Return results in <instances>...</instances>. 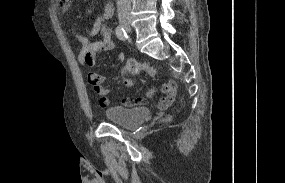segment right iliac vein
Here are the masks:
<instances>
[{"label":"right iliac vein","mask_w":285,"mask_h":183,"mask_svg":"<svg viewBox=\"0 0 285 183\" xmlns=\"http://www.w3.org/2000/svg\"><path fill=\"white\" fill-rule=\"evenodd\" d=\"M120 24L122 27H124L126 30H131V20L128 17L120 18Z\"/></svg>","instance_id":"1"}]
</instances>
